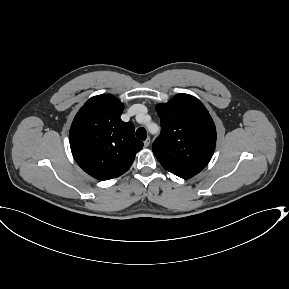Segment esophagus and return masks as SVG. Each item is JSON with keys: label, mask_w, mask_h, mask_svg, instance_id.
Here are the masks:
<instances>
[{"label": "esophagus", "mask_w": 289, "mask_h": 289, "mask_svg": "<svg viewBox=\"0 0 289 289\" xmlns=\"http://www.w3.org/2000/svg\"><path fill=\"white\" fill-rule=\"evenodd\" d=\"M151 139L150 137H148L145 141H144V146L148 147L150 145Z\"/></svg>", "instance_id": "34e87169"}]
</instances>
